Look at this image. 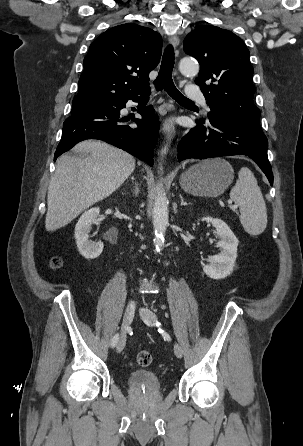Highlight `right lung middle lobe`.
I'll list each match as a JSON object with an SVG mask.
<instances>
[{
	"label": "right lung middle lobe",
	"mask_w": 303,
	"mask_h": 446,
	"mask_svg": "<svg viewBox=\"0 0 303 446\" xmlns=\"http://www.w3.org/2000/svg\"><path fill=\"white\" fill-rule=\"evenodd\" d=\"M72 111L71 113H77L80 111H85V110H89L92 109L90 108V103L85 101V100H81V99H74L72 101Z\"/></svg>",
	"instance_id": "right-lung-middle-lobe-1"
}]
</instances>
